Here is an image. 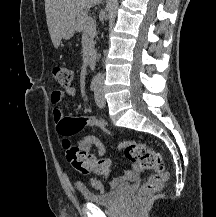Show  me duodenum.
<instances>
[{
  "label": "duodenum",
  "instance_id": "410a0bca",
  "mask_svg": "<svg viewBox=\"0 0 216 217\" xmlns=\"http://www.w3.org/2000/svg\"><path fill=\"white\" fill-rule=\"evenodd\" d=\"M95 63H96V54H95L94 49L91 48L89 50V66H90V68H94Z\"/></svg>",
  "mask_w": 216,
  "mask_h": 217
}]
</instances>
